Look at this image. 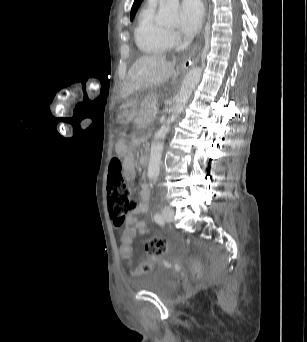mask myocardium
Instances as JSON below:
<instances>
[{"mask_svg": "<svg viewBox=\"0 0 307 342\" xmlns=\"http://www.w3.org/2000/svg\"><path fill=\"white\" fill-rule=\"evenodd\" d=\"M160 36L162 44L164 45L167 51H177L179 49V45L172 40L171 35L165 34L162 30H160Z\"/></svg>", "mask_w": 307, "mask_h": 342, "instance_id": "1", "label": "myocardium"}]
</instances>
